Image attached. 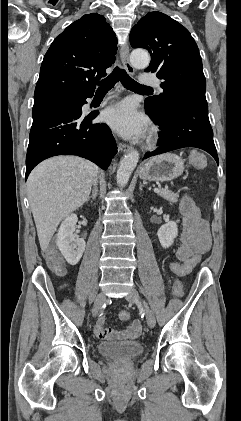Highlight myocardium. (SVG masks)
<instances>
[{
    "label": "myocardium",
    "mask_w": 241,
    "mask_h": 421,
    "mask_svg": "<svg viewBox=\"0 0 241 421\" xmlns=\"http://www.w3.org/2000/svg\"><path fill=\"white\" fill-rule=\"evenodd\" d=\"M157 138H158V131H157V129L154 128L150 132V135H149V138H148V144L149 145L154 144L156 142Z\"/></svg>",
    "instance_id": "1"
}]
</instances>
